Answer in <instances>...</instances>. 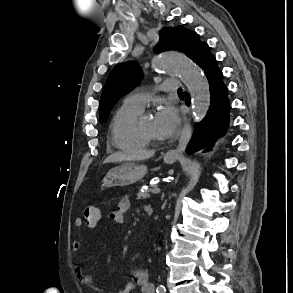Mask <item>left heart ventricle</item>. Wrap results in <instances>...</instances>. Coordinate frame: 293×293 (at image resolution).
Here are the masks:
<instances>
[{
    "mask_svg": "<svg viewBox=\"0 0 293 293\" xmlns=\"http://www.w3.org/2000/svg\"><path fill=\"white\" fill-rule=\"evenodd\" d=\"M141 127L149 137L155 140H162L164 138L157 127L155 116H145L141 120Z\"/></svg>",
    "mask_w": 293,
    "mask_h": 293,
    "instance_id": "obj_1",
    "label": "left heart ventricle"
}]
</instances>
